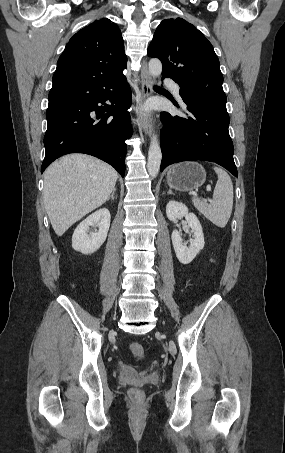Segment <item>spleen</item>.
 I'll return each instance as SVG.
<instances>
[{
    "mask_svg": "<svg viewBox=\"0 0 285 453\" xmlns=\"http://www.w3.org/2000/svg\"><path fill=\"white\" fill-rule=\"evenodd\" d=\"M218 180L210 204L204 199L192 198L195 208L214 225L224 228L233 208V184L230 176L222 168L214 167Z\"/></svg>",
    "mask_w": 285,
    "mask_h": 453,
    "instance_id": "obj_1",
    "label": "spleen"
}]
</instances>
